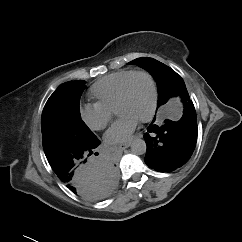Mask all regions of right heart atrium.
Segmentation results:
<instances>
[{"label": "right heart atrium", "instance_id": "d8ad5b80", "mask_svg": "<svg viewBox=\"0 0 242 242\" xmlns=\"http://www.w3.org/2000/svg\"><path fill=\"white\" fill-rule=\"evenodd\" d=\"M79 117L92 130H102L110 122L113 112L99 103H85L79 107Z\"/></svg>", "mask_w": 242, "mask_h": 242}]
</instances>
